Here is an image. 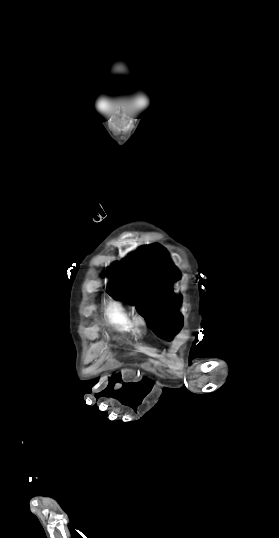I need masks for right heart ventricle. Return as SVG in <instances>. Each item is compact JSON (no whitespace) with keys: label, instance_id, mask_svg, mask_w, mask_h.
Returning <instances> with one entry per match:
<instances>
[{"label":"right heart ventricle","instance_id":"1","mask_svg":"<svg viewBox=\"0 0 279 538\" xmlns=\"http://www.w3.org/2000/svg\"><path fill=\"white\" fill-rule=\"evenodd\" d=\"M101 209L97 210L95 215L92 216L83 226V229L87 232L98 234L101 232L103 224L107 220V216ZM105 315L109 324H111L116 330L120 332H128L132 329V315L125 307L119 302H110L105 309Z\"/></svg>","mask_w":279,"mask_h":538}]
</instances>
